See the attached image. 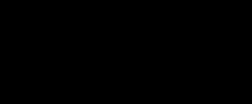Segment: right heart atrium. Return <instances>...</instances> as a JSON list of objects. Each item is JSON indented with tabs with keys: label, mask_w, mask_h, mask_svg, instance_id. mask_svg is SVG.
I'll use <instances>...</instances> for the list:
<instances>
[{
	"label": "right heart atrium",
	"mask_w": 252,
	"mask_h": 104,
	"mask_svg": "<svg viewBox=\"0 0 252 104\" xmlns=\"http://www.w3.org/2000/svg\"><path fill=\"white\" fill-rule=\"evenodd\" d=\"M114 57L116 59V60H113L114 63H116L117 65L120 66L121 69H123V60L121 59V57L119 56L117 52L114 53Z\"/></svg>",
	"instance_id": "obj_1"
}]
</instances>
